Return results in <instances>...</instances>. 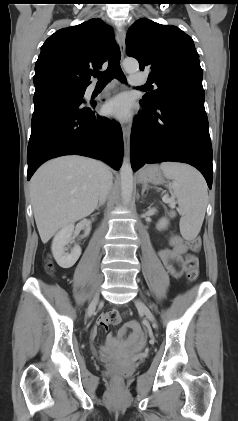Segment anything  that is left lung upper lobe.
I'll list each match as a JSON object with an SVG mask.
<instances>
[{
    "mask_svg": "<svg viewBox=\"0 0 238 421\" xmlns=\"http://www.w3.org/2000/svg\"><path fill=\"white\" fill-rule=\"evenodd\" d=\"M126 53L139 61L140 70L150 68L148 82L158 89L140 101L154 108L163 96L190 86L202 87V69L192 38L176 26L142 18L131 25L126 36Z\"/></svg>",
    "mask_w": 238,
    "mask_h": 421,
    "instance_id": "5c2ea615",
    "label": "left lung upper lobe"
}]
</instances>
